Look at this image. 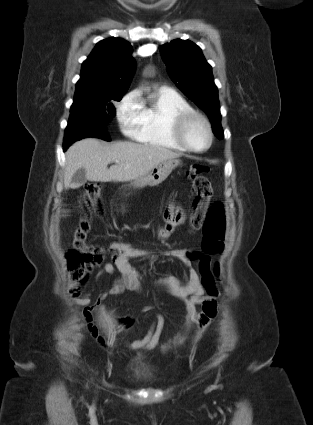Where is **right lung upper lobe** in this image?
Here are the masks:
<instances>
[{"label":"right lung upper lobe","instance_id":"cb5924a9","mask_svg":"<svg viewBox=\"0 0 313 425\" xmlns=\"http://www.w3.org/2000/svg\"><path fill=\"white\" fill-rule=\"evenodd\" d=\"M132 50L121 38L98 42L82 64L74 99L126 93L135 71Z\"/></svg>","mask_w":313,"mask_h":425}]
</instances>
